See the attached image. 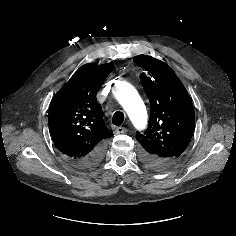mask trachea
<instances>
[{
	"label": "trachea",
	"mask_w": 236,
	"mask_h": 236,
	"mask_svg": "<svg viewBox=\"0 0 236 236\" xmlns=\"http://www.w3.org/2000/svg\"><path fill=\"white\" fill-rule=\"evenodd\" d=\"M124 121V114L120 111L114 113L112 123L116 126H120Z\"/></svg>",
	"instance_id": "3493384b"
}]
</instances>
